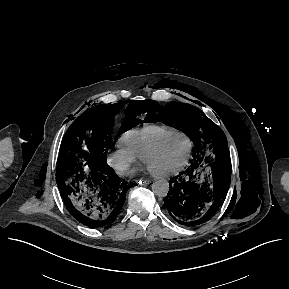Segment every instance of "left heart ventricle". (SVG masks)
<instances>
[{
    "instance_id": "b2bd125f",
    "label": "left heart ventricle",
    "mask_w": 289,
    "mask_h": 289,
    "mask_svg": "<svg viewBox=\"0 0 289 289\" xmlns=\"http://www.w3.org/2000/svg\"><path fill=\"white\" fill-rule=\"evenodd\" d=\"M188 152V142L182 136L166 141L161 148L146 160V166L153 172H166L180 166Z\"/></svg>"
}]
</instances>
